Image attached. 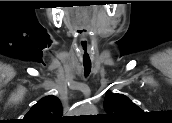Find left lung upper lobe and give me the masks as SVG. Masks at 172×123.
Listing matches in <instances>:
<instances>
[{
  "label": "left lung upper lobe",
  "mask_w": 172,
  "mask_h": 123,
  "mask_svg": "<svg viewBox=\"0 0 172 123\" xmlns=\"http://www.w3.org/2000/svg\"><path fill=\"white\" fill-rule=\"evenodd\" d=\"M107 116L116 120L130 119L141 113V109L123 94L108 92L104 100Z\"/></svg>",
  "instance_id": "obj_1"
}]
</instances>
